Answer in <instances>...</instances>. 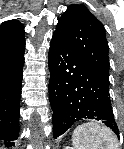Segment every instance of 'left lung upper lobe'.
<instances>
[{
    "label": "left lung upper lobe",
    "instance_id": "obj_1",
    "mask_svg": "<svg viewBox=\"0 0 124 149\" xmlns=\"http://www.w3.org/2000/svg\"><path fill=\"white\" fill-rule=\"evenodd\" d=\"M57 33L98 74L109 80L108 42L103 24L83 5H69Z\"/></svg>",
    "mask_w": 124,
    "mask_h": 149
}]
</instances>
